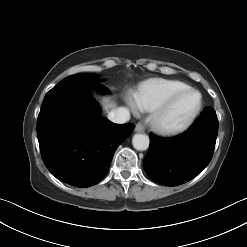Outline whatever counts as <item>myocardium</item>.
<instances>
[{
  "mask_svg": "<svg viewBox=\"0 0 247 247\" xmlns=\"http://www.w3.org/2000/svg\"><path fill=\"white\" fill-rule=\"evenodd\" d=\"M194 93L198 95V103L189 116L180 124L169 126L164 123V118L173 105L184 95ZM203 107V96L197 89L187 88L171 95L152 112L151 124L154 130L163 136H176L186 132L196 121Z\"/></svg>",
  "mask_w": 247,
  "mask_h": 247,
  "instance_id": "1",
  "label": "myocardium"
}]
</instances>
